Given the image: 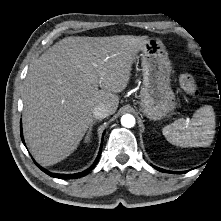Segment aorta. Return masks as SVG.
<instances>
[{
    "label": "aorta",
    "mask_w": 221,
    "mask_h": 221,
    "mask_svg": "<svg viewBox=\"0 0 221 221\" xmlns=\"http://www.w3.org/2000/svg\"><path fill=\"white\" fill-rule=\"evenodd\" d=\"M121 124L126 128H131L135 125V118L131 114H125L121 117Z\"/></svg>",
    "instance_id": "obj_1"
}]
</instances>
